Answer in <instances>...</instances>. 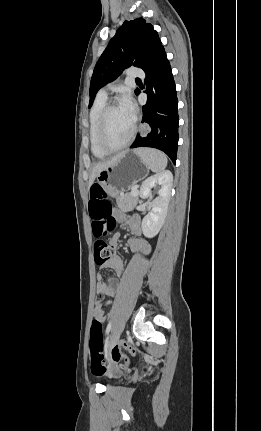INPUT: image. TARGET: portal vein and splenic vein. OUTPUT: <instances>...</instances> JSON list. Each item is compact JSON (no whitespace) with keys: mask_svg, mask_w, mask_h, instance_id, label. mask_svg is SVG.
Wrapping results in <instances>:
<instances>
[{"mask_svg":"<svg viewBox=\"0 0 261 431\" xmlns=\"http://www.w3.org/2000/svg\"><path fill=\"white\" fill-rule=\"evenodd\" d=\"M137 194H138V190L137 189H134V190L131 191V195L132 196H135Z\"/></svg>","mask_w":261,"mask_h":431,"instance_id":"obj_1","label":"portal vein and splenic vein"}]
</instances>
